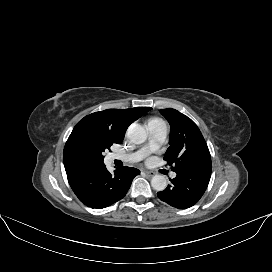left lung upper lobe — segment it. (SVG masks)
I'll use <instances>...</instances> for the list:
<instances>
[{
  "mask_svg": "<svg viewBox=\"0 0 272 272\" xmlns=\"http://www.w3.org/2000/svg\"><path fill=\"white\" fill-rule=\"evenodd\" d=\"M168 120L171 133L169 148L164 160L172 170L211 168V156L207 144L197 125L187 116L175 109H161Z\"/></svg>",
  "mask_w": 272,
  "mask_h": 272,
  "instance_id": "obj_1",
  "label": "left lung upper lobe"
}]
</instances>
